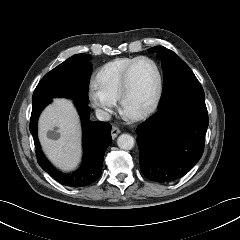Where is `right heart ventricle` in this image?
<instances>
[{
	"mask_svg": "<svg viewBox=\"0 0 240 240\" xmlns=\"http://www.w3.org/2000/svg\"><path fill=\"white\" fill-rule=\"evenodd\" d=\"M137 57L116 58L101 66L95 75L96 84L109 97L118 99L122 77L131 62Z\"/></svg>",
	"mask_w": 240,
	"mask_h": 240,
	"instance_id": "right-heart-ventricle-1",
	"label": "right heart ventricle"
}]
</instances>
